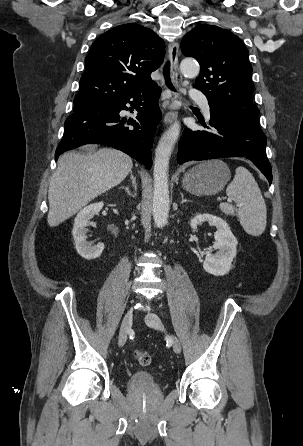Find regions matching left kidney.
Listing matches in <instances>:
<instances>
[{
    "label": "left kidney",
    "instance_id": "1",
    "mask_svg": "<svg viewBox=\"0 0 303 446\" xmlns=\"http://www.w3.org/2000/svg\"><path fill=\"white\" fill-rule=\"evenodd\" d=\"M203 222L216 226L217 231L214 234L215 243L213 248L218 250L216 254L208 253L206 255L203 268L212 275L223 276L231 269L232 261L236 256L238 241L228 224L222 218L212 214H197L191 219L190 226L195 230Z\"/></svg>",
    "mask_w": 303,
    "mask_h": 446
}]
</instances>
